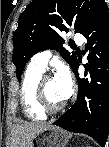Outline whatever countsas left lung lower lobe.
<instances>
[{"label": "left lung lower lobe", "mask_w": 109, "mask_h": 147, "mask_svg": "<svg viewBox=\"0 0 109 147\" xmlns=\"http://www.w3.org/2000/svg\"><path fill=\"white\" fill-rule=\"evenodd\" d=\"M81 34L87 38L86 49L89 64L84 76L99 75V86L90 84V78H80L74 67L78 82V97L73 106L53 124L70 132L84 133L104 146L109 133V10L104 2Z\"/></svg>", "instance_id": "left-lung-lower-lobe-1"}]
</instances>
